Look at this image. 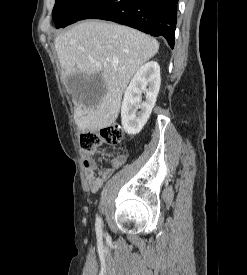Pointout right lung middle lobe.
I'll return each instance as SVG.
<instances>
[{
    "mask_svg": "<svg viewBox=\"0 0 247 275\" xmlns=\"http://www.w3.org/2000/svg\"><path fill=\"white\" fill-rule=\"evenodd\" d=\"M99 0H55L52 18L56 28L77 22L82 14Z\"/></svg>",
    "mask_w": 247,
    "mask_h": 275,
    "instance_id": "obj_1",
    "label": "right lung middle lobe"
}]
</instances>
